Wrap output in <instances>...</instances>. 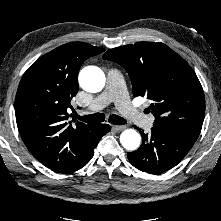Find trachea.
Wrapping results in <instances>:
<instances>
[{"label":"trachea","instance_id":"obj_1","mask_svg":"<svg viewBox=\"0 0 221 221\" xmlns=\"http://www.w3.org/2000/svg\"><path fill=\"white\" fill-rule=\"evenodd\" d=\"M76 118L85 123H100L104 121L105 115L103 113H95L85 116H76ZM108 121L114 125H123L127 123L125 119L118 115H111Z\"/></svg>","mask_w":221,"mask_h":221}]
</instances>
